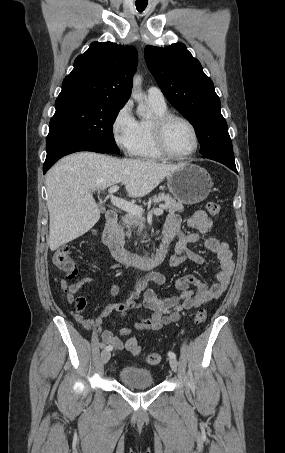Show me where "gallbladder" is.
Returning <instances> with one entry per match:
<instances>
[{
  "label": "gallbladder",
  "instance_id": "1",
  "mask_svg": "<svg viewBox=\"0 0 285 453\" xmlns=\"http://www.w3.org/2000/svg\"><path fill=\"white\" fill-rule=\"evenodd\" d=\"M100 210H101V211H104V208H103V207H100Z\"/></svg>",
  "mask_w": 285,
  "mask_h": 453
}]
</instances>
